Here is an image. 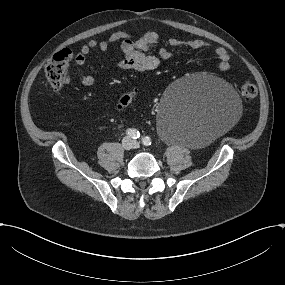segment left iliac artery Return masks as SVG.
Returning a JSON list of instances; mask_svg holds the SVG:
<instances>
[{
    "label": "left iliac artery",
    "instance_id": "obj_1",
    "mask_svg": "<svg viewBox=\"0 0 285 285\" xmlns=\"http://www.w3.org/2000/svg\"><path fill=\"white\" fill-rule=\"evenodd\" d=\"M142 143L145 146H150L152 142H151V139L148 136H146L142 139Z\"/></svg>",
    "mask_w": 285,
    "mask_h": 285
}]
</instances>
